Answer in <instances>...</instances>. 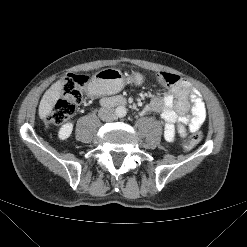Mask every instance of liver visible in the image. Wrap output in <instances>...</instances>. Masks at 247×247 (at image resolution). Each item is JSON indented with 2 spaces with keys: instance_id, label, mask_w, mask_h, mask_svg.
Returning <instances> with one entry per match:
<instances>
[{
  "instance_id": "obj_1",
  "label": "liver",
  "mask_w": 247,
  "mask_h": 247,
  "mask_svg": "<svg viewBox=\"0 0 247 247\" xmlns=\"http://www.w3.org/2000/svg\"><path fill=\"white\" fill-rule=\"evenodd\" d=\"M63 89V82L57 81L44 93L39 105V117L46 118L54 108L57 100L60 99Z\"/></svg>"
}]
</instances>
